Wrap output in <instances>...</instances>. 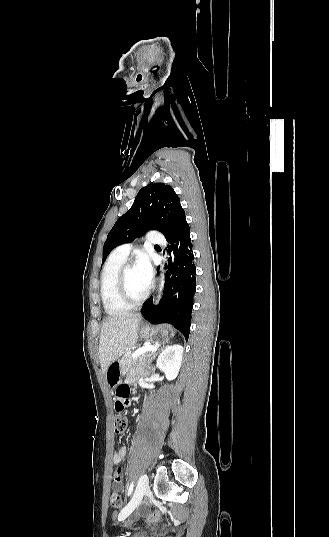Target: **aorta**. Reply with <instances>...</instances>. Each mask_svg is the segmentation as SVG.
Wrapping results in <instances>:
<instances>
[{"label":"aorta","mask_w":329,"mask_h":537,"mask_svg":"<svg viewBox=\"0 0 329 537\" xmlns=\"http://www.w3.org/2000/svg\"><path fill=\"white\" fill-rule=\"evenodd\" d=\"M163 286H164V276L162 275L161 276V279H160V286H159V293L163 290ZM160 294L158 295V299L160 298ZM158 301V300H157Z\"/></svg>","instance_id":"obj_1"}]
</instances>
